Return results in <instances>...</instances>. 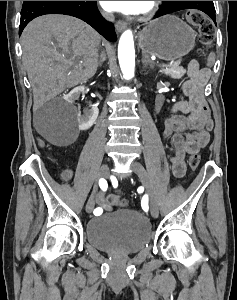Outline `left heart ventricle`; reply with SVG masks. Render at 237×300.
I'll use <instances>...</instances> for the list:
<instances>
[{
	"label": "left heart ventricle",
	"instance_id": "obj_1",
	"mask_svg": "<svg viewBox=\"0 0 237 300\" xmlns=\"http://www.w3.org/2000/svg\"><path fill=\"white\" fill-rule=\"evenodd\" d=\"M145 6H146V2H145V4H144L143 8L140 10V12L145 8Z\"/></svg>",
	"mask_w": 237,
	"mask_h": 300
}]
</instances>
